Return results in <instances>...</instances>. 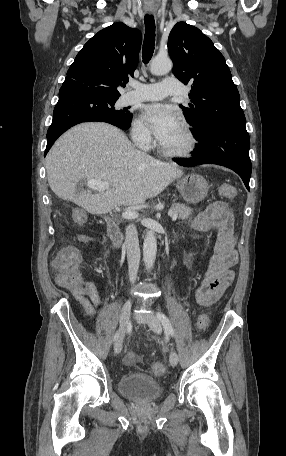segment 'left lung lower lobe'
I'll use <instances>...</instances> for the list:
<instances>
[{
    "instance_id": "obj_1",
    "label": "left lung lower lobe",
    "mask_w": 286,
    "mask_h": 456,
    "mask_svg": "<svg viewBox=\"0 0 286 456\" xmlns=\"http://www.w3.org/2000/svg\"><path fill=\"white\" fill-rule=\"evenodd\" d=\"M194 137L199 141V145L194 149V156L186 160L174 159L175 162L187 167L200 164L225 166L235 171L250 190V138L246 128L218 124Z\"/></svg>"
}]
</instances>
